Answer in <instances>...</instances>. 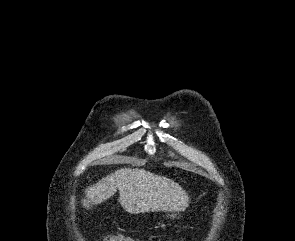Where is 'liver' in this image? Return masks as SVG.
<instances>
[{"instance_id":"6515ba94","label":"liver","mask_w":295,"mask_h":241,"mask_svg":"<svg viewBox=\"0 0 295 241\" xmlns=\"http://www.w3.org/2000/svg\"><path fill=\"white\" fill-rule=\"evenodd\" d=\"M119 190V202L130 214L154 211H184L189 196L182 187L164 176L144 169L121 168L85 190V208L101 204Z\"/></svg>"}]
</instances>
